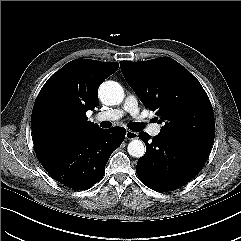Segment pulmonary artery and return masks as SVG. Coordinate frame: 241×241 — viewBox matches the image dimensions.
<instances>
[{"instance_id": "obj_1", "label": "pulmonary artery", "mask_w": 241, "mask_h": 241, "mask_svg": "<svg viewBox=\"0 0 241 241\" xmlns=\"http://www.w3.org/2000/svg\"><path fill=\"white\" fill-rule=\"evenodd\" d=\"M126 113H129L134 118L139 117V106L137 98L133 95H128L121 108L112 109L109 111L101 112L97 115L98 120H118L123 117ZM161 131V125L151 124L148 126V132L152 136L159 135Z\"/></svg>"}]
</instances>
